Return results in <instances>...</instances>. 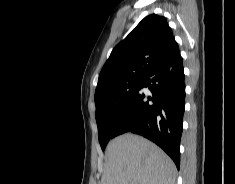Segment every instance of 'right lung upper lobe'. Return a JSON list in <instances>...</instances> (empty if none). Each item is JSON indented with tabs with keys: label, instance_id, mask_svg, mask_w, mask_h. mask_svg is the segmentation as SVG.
<instances>
[{
	"label": "right lung upper lobe",
	"instance_id": "obj_1",
	"mask_svg": "<svg viewBox=\"0 0 235 184\" xmlns=\"http://www.w3.org/2000/svg\"><path fill=\"white\" fill-rule=\"evenodd\" d=\"M179 50L165 17L151 14L112 50L95 91L96 107L108 102L109 89L143 80L158 64Z\"/></svg>",
	"mask_w": 235,
	"mask_h": 184
}]
</instances>
